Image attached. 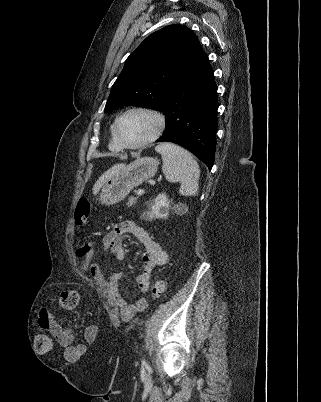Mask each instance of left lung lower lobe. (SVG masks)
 <instances>
[{
	"mask_svg": "<svg viewBox=\"0 0 321 402\" xmlns=\"http://www.w3.org/2000/svg\"><path fill=\"white\" fill-rule=\"evenodd\" d=\"M217 109V85L208 56L204 54L167 96L162 109L166 130L157 142H173L185 147L211 170L216 148Z\"/></svg>",
	"mask_w": 321,
	"mask_h": 402,
	"instance_id": "obj_1",
	"label": "left lung lower lobe"
}]
</instances>
